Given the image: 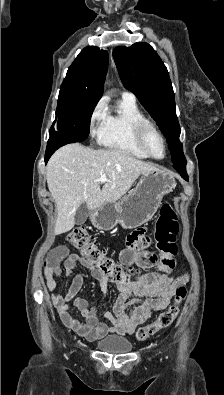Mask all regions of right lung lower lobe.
<instances>
[{"label":"right lung lower lobe","mask_w":224,"mask_h":395,"mask_svg":"<svg viewBox=\"0 0 224 395\" xmlns=\"http://www.w3.org/2000/svg\"><path fill=\"white\" fill-rule=\"evenodd\" d=\"M76 141L68 138H56L53 136H50L47 148H46V153H45V164L48 162L49 158L51 155L61 146L69 144V143H75Z\"/></svg>","instance_id":"1"}]
</instances>
